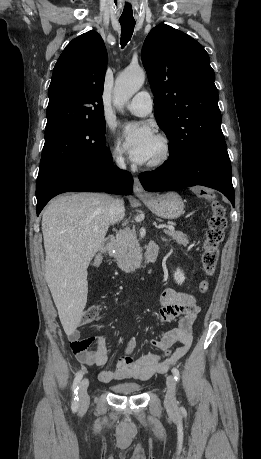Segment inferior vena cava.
I'll list each match as a JSON object with an SVG mask.
<instances>
[{
	"mask_svg": "<svg viewBox=\"0 0 261 459\" xmlns=\"http://www.w3.org/2000/svg\"><path fill=\"white\" fill-rule=\"evenodd\" d=\"M118 166L122 169L126 168L124 160L119 157L117 159ZM110 222L112 224L121 221L125 216L124 201L120 198L113 199L109 208Z\"/></svg>",
	"mask_w": 261,
	"mask_h": 459,
	"instance_id": "602c4592",
	"label": "inferior vena cava"
}]
</instances>
